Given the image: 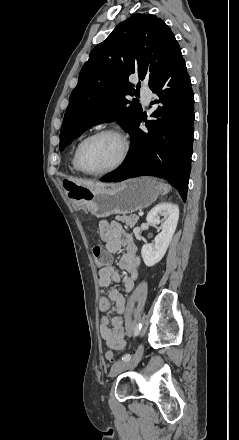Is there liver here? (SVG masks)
I'll return each mask as SVG.
<instances>
[{"mask_svg":"<svg viewBox=\"0 0 239 440\" xmlns=\"http://www.w3.org/2000/svg\"><path fill=\"white\" fill-rule=\"evenodd\" d=\"M70 182H74V184H81L84 188H104V186H114V184H101V182H88V180H78V178H71Z\"/></svg>","mask_w":239,"mask_h":440,"instance_id":"1","label":"liver"}]
</instances>
